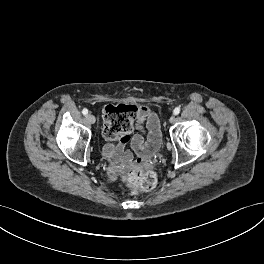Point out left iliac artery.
Listing matches in <instances>:
<instances>
[{"label": "left iliac artery", "instance_id": "44dca946", "mask_svg": "<svg viewBox=\"0 0 264 264\" xmlns=\"http://www.w3.org/2000/svg\"><path fill=\"white\" fill-rule=\"evenodd\" d=\"M180 113V108L179 107H176L173 111V114L174 115H178Z\"/></svg>", "mask_w": 264, "mask_h": 264}]
</instances>
